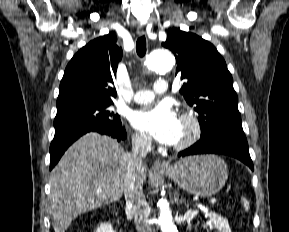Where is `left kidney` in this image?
<instances>
[{
	"label": "left kidney",
	"instance_id": "obj_1",
	"mask_svg": "<svg viewBox=\"0 0 289 232\" xmlns=\"http://www.w3.org/2000/svg\"><path fill=\"white\" fill-rule=\"evenodd\" d=\"M209 218L211 228L217 229L218 232H231L228 221L224 217H221L215 212H210Z\"/></svg>",
	"mask_w": 289,
	"mask_h": 232
}]
</instances>
